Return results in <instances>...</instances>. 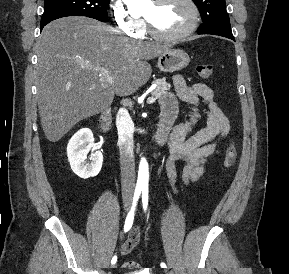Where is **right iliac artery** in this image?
<instances>
[{
  "mask_svg": "<svg viewBox=\"0 0 289 274\" xmlns=\"http://www.w3.org/2000/svg\"><path fill=\"white\" fill-rule=\"evenodd\" d=\"M141 191H142L141 188H136L135 189L132 207H131V209H130L127 217H126V220H125L124 232L129 231L130 228L132 227L133 220H134V212H135V208H136V205H137V201H138V199L140 197ZM116 261H117V256L115 255V256H113V258L111 260V263L115 264Z\"/></svg>",
  "mask_w": 289,
  "mask_h": 274,
  "instance_id": "right-iliac-artery-1",
  "label": "right iliac artery"
}]
</instances>
